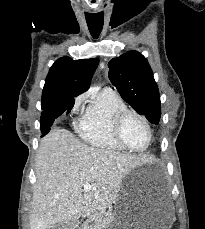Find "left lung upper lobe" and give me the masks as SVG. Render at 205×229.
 Returning a JSON list of instances; mask_svg holds the SVG:
<instances>
[{
  "instance_id": "obj_1",
  "label": "left lung upper lobe",
  "mask_w": 205,
  "mask_h": 229,
  "mask_svg": "<svg viewBox=\"0 0 205 229\" xmlns=\"http://www.w3.org/2000/svg\"><path fill=\"white\" fill-rule=\"evenodd\" d=\"M108 76L121 97L152 124L161 116L160 98L153 72L146 58L128 51L108 63Z\"/></svg>"
}]
</instances>
